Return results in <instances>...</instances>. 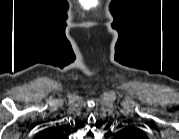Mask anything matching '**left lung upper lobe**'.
Returning a JSON list of instances; mask_svg holds the SVG:
<instances>
[{"mask_svg":"<svg viewBox=\"0 0 179 139\" xmlns=\"http://www.w3.org/2000/svg\"><path fill=\"white\" fill-rule=\"evenodd\" d=\"M128 130H129V131H133V132L140 133L139 130H137L136 128H133V127H129Z\"/></svg>","mask_w":179,"mask_h":139,"instance_id":"1","label":"left lung upper lobe"}]
</instances>
